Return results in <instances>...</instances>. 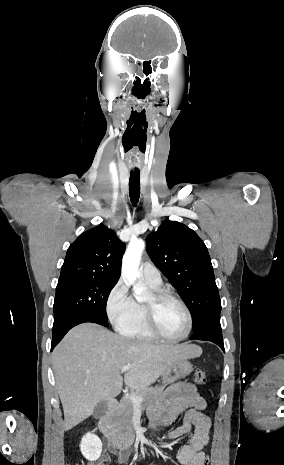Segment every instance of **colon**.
Instances as JSON below:
<instances>
[{
  "label": "colon",
  "mask_w": 284,
  "mask_h": 465,
  "mask_svg": "<svg viewBox=\"0 0 284 465\" xmlns=\"http://www.w3.org/2000/svg\"><path fill=\"white\" fill-rule=\"evenodd\" d=\"M207 380L206 378V374L204 371L202 370H197L195 373H194V381L197 383V384H203L205 383ZM205 461L204 462V465H209V461H210V458L209 457H206L205 458Z\"/></svg>",
  "instance_id": "colon-1"
}]
</instances>
